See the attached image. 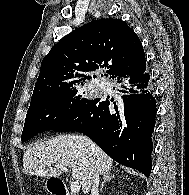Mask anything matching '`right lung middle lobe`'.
<instances>
[{
  "instance_id": "right-lung-middle-lobe-1",
  "label": "right lung middle lobe",
  "mask_w": 189,
  "mask_h": 195,
  "mask_svg": "<svg viewBox=\"0 0 189 195\" xmlns=\"http://www.w3.org/2000/svg\"><path fill=\"white\" fill-rule=\"evenodd\" d=\"M84 94L74 86L31 102L21 141L25 142L38 133L53 130L80 111L91 101Z\"/></svg>"
}]
</instances>
